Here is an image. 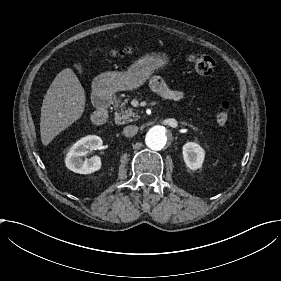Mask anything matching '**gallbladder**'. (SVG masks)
Returning <instances> with one entry per match:
<instances>
[{"instance_id":"bac80fb5","label":"gallbladder","mask_w":281,"mask_h":281,"mask_svg":"<svg viewBox=\"0 0 281 281\" xmlns=\"http://www.w3.org/2000/svg\"><path fill=\"white\" fill-rule=\"evenodd\" d=\"M74 69H75L76 71H79V70L81 69V66H80L79 64H76V65L74 66ZM79 74H80L81 76H84V75L86 74V71H85L84 69H81V70L79 71Z\"/></svg>"}]
</instances>
